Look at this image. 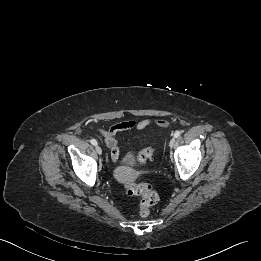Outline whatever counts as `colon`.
I'll use <instances>...</instances> for the list:
<instances>
[{
  "mask_svg": "<svg viewBox=\"0 0 261 261\" xmlns=\"http://www.w3.org/2000/svg\"><path fill=\"white\" fill-rule=\"evenodd\" d=\"M154 148L143 149L138 155V161L141 164L146 163L153 157ZM124 191L129 196H142L139 207V215L147 217L150 214V208L157 203L158 195L156 191L148 184L128 183L124 186Z\"/></svg>",
  "mask_w": 261,
  "mask_h": 261,
  "instance_id": "obj_1",
  "label": "colon"
}]
</instances>
